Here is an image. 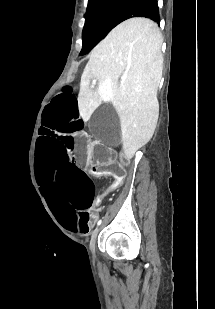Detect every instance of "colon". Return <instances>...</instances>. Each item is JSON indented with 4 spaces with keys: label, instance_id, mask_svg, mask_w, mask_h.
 Segmentation results:
<instances>
[{
    "label": "colon",
    "instance_id": "colon-1",
    "mask_svg": "<svg viewBox=\"0 0 215 309\" xmlns=\"http://www.w3.org/2000/svg\"><path fill=\"white\" fill-rule=\"evenodd\" d=\"M101 157L92 156V163L97 166V171L106 173L112 176L113 181L110 186L102 193L105 196L107 193L115 190L123 184L126 172L123 166L115 161L101 160Z\"/></svg>",
    "mask_w": 215,
    "mask_h": 309
}]
</instances>
